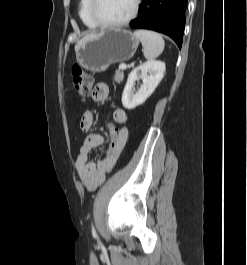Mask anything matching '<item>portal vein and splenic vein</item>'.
<instances>
[{
  "mask_svg": "<svg viewBox=\"0 0 247 265\" xmlns=\"http://www.w3.org/2000/svg\"><path fill=\"white\" fill-rule=\"evenodd\" d=\"M127 68L126 64H120L119 69L120 70H125Z\"/></svg>",
  "mask_w": 247,
  "mask_h": 265,
  "instance_id": "1",
  "label": "portal vein and splenic vein"
}]
</instances>
